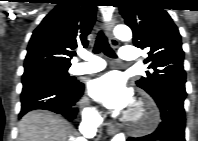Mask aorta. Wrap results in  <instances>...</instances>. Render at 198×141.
I'll return each instance as SVG.
<instances>
[{
    "label": "aorta",
    "mask_w": 198,
    "mask_h": 141,
    "mask_svg": "<svg viewBox=\"0 0 198 141\" xmlns=\"http://www.w3.org/2000/svg\"><path fill=\"white\" fill-rule=\"evenodd\" d=\"M114 35L116 36V38L123 41H128L132 38V32L130 28L127 27L126 25H117L114 28ZM112 141H125L124 133H119L115 135Z\"/></svg>",
    "instance_id": "obj_1"
}]
</instances>
